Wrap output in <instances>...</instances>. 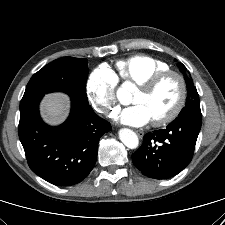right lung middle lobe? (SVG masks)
<instances>
[{"label":"right lung middle lobe","instance_id":"dd1d6c3e","mask_svg":"<svg viewBox=\"0 0 225 225\" xmlns=\"http://www.w3.org/2000/svg\"><path fill=\"white\" fill-rule=\"evenodd\" d=\"M88 71L86 59L72 57L56 59L32 76L23 97L62 91L71 99L88 104L85 89Z\"/></svg>","mask_w":225,"mask_h":225}]
</instances>
